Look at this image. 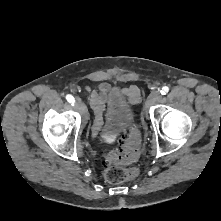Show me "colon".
<instances>
[{
	"instance_id": "1",
	"label": "colon",
	"mask_w": 221,
	"mask_h": 221,
	"mask_svg": "<svg viewBox=\"0 0 221 221\" xmlns=\"http://www.w3.org/2000/svg\"><path fill=\"white\" fill-rule=\"evenodd\" d=\"M140 134L132 129L123 135L119 148L111 150L105 155L103 178L111 184H118L135 178L139 170L137 167L125 168L123 165L133 164L139 153Z\"/></svg>"
}]
</instances>
